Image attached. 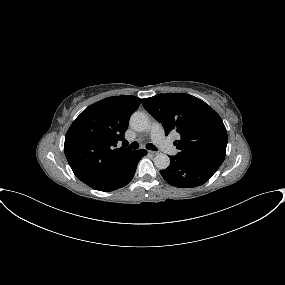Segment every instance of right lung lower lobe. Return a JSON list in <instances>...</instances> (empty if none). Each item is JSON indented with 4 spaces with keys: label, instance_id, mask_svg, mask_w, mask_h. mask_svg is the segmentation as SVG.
<instances>
[{
    "label": "right lung lower lobe",
    "instance_id": "1",
    "mask_svg": "<svg viewBox=\"0 0 285 285\" xmlns=\"http://www.w3.org/2000/svg\"><path fill=\"white\" fill-rule=\"evenodd\" d=\"M147 154L146 150L135 151L132 161L125 167L123 171L115 176L103 179L89 185L93 189L109 192L127 185L133 178L139 160Z\"/></svg>",
    "mask_w": 285,
    "mask_h": 285
}]
</instances>
